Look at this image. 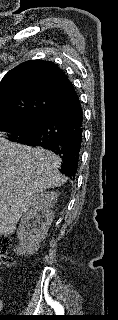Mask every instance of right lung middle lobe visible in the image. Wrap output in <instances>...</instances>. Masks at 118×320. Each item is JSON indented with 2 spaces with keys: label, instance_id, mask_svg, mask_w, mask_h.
I'll list each match as a JSON object with an SVG mask.
<instances>
[{
  "label": "right lung middle lobe",
  "instance_id": "obj_1",
  "mask_svg": "<svg viewBox=\"0 0 118 320\" xmlns=\"http://www.w3.org/2000/svg\"><path fill=\"white\" fill-rule=\"evenodd\" d=\"M44 123L43 119L20 118L0 120V131L11 134V141L16 142L38 131Z\"/></svg>",
  "mask_w": 118,
  "mask_h": 320
}]
</instances>
